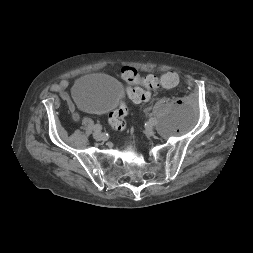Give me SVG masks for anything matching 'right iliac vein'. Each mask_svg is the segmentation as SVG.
Here are the masks:
<instances>
[{
  "instance_id": "obj_1",
  "label": "right iliac vein",
  "mask_w": 253,
  "mask_h": 253,
  "mask_svg": "<svg viewBox=\"0 0 253 253\" xmlns=\"http://www.w3.org/2000/svg\"><path fill=\"white\" fill-rule=\"evenodd\" d=\"M93 136L97 140H103L104 139V135L99 130L94 131Z\"/></svg>"
}]
</instances>
